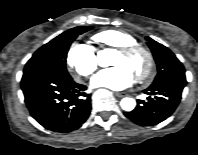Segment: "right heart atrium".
<instances>
[{
    "mask_svg": "<svg viewBox=\"0 0 198 155\" xmlns=\"http://www.w3.org/2000/svg\"><path fill=\"white\" fill-rule=\"evenodd\" d=\"M67 66L74 75L88 77L97 68V56L93 47L84 42L74 43L67 52Z\"/></svg>",
    "mask_w": 198,
    "mask_h": 155,
    "instance_id": "d8ad5b80",
    "label": "right heart atrium"
}]
</instances>
